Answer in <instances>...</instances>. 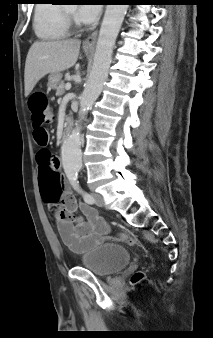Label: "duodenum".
<instances>
[{"label":"duodenum","mask_w":213,"mask_h":338,"mask_svg":"<svg viewBox=\"0 0 213 338\" xmlns=\"http://www.w3.org/2000/svg\"><path fill=\"white\" fill-rule=\"evenodd\" d=\"M72 128H73V123L69 121L64 128L63 137H67L69 133L71 132Z\"/></svg>","instance_id":"1"}]
</instances>
